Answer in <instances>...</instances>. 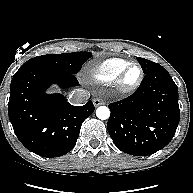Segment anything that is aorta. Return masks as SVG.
Returning <instances> with one entry per match:
<instances>
[{"mask_svg":"<svg viewBox=\"0 0 193 193\" xmlns=\"http://www.w3.org/2000/svg\"><path fill=\"white\" fill-rule=\"evenodd\" d=\"M96 116L101 120H106L110 116V110L106 106H100L96 110Z\"/></svg>","mask_w":193,"mask_h":193,"instance_id":"762f6f07","label":"aorta"}]
</instances>
